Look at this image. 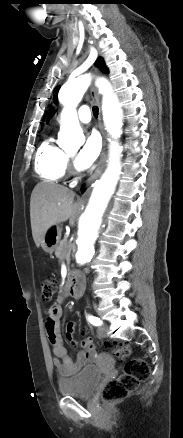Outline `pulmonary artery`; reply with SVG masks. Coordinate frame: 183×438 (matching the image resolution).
Masks as SVG:
<instances>
[{"instance_id":"obj_1","label":"pulmonary artery","mask_w":183,"mask_h":438,"mask_svg":"<svg viewBox=\"0 0 183 438\" xmlns=\"http://www.w3.org/2000/svg\"><path fill=\"white\" fill-rule=\"evenodd\" d=\"M78 119L82 123H89L91 120V111L88 106L83 105L78 110Z\"/></svg>"}]
</instances>
